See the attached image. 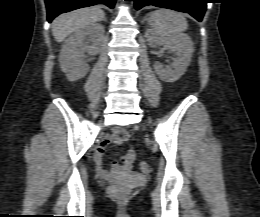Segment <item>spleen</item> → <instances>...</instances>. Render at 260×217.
<instances>
[{
	"instance_id": "3e777b00",
	"label": "spleen",
	"mask_w": 260,
	"mask_h": 217,
	"mask_svg": "<svg viewBox=\"0 0 260 217\" xmlns=\"http://www.w3.org/2000/svg\"><path fill=\"white\" fill-rule=\"evenodd\" d=\"M149 24L160 34H180L188 26L182 14L168 9L153 12L150 15Z\"/></svg>"
}]
</instances>
